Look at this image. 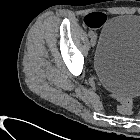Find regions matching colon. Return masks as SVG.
Returning <instances> with one entry per match:
<instances>
[{"instance_id":"obj_1","label":"colon","mask_w":140,"mask_h":140,"mask_svg":"<svg viewBox=\"0 0 140 140\" xmlns=\"http://www.w3.org/2000/svg\"><path fill=\"white\" fill-rule=\"evenodd\" d=\"M114 99L117 111L124 115H129L133 111V103L129 98H124L116 95H112Z\"/></svg>"}]
</instances>
